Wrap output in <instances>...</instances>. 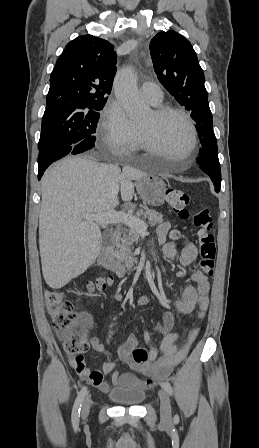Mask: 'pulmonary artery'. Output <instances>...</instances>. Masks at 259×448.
<instances>
[{"instance_id":"pulmonary-artery-1","label":"pulmonary artery","mask_w":259,"mask_h":448,"mask_svg":"<svg viewBox=\"0 0 259 448\" xmlns=\"http://www.w3.org/2000/svg\"><path fill=\"white\" fill-rule=\"evenodd\" d=\"M142 97L150 104L159 103L163 99V91L157 83H143L140 87Z\"/></svg>"}]
</instances>
